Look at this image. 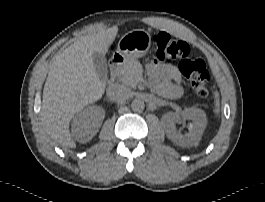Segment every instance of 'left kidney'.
<instances>
[{"label":"left kidney","mask_w":265,"mask_h":202,"mask_svg":"<svg viewBox=\"0 0 265 202\" xmlns=\"http://www.w3.org/2000/svg\"><path fill=\"white\" fill-rule=\"evenodd\" d=\"M183 120L192 121L189 125V131L185 134L176 128V124ZM161 121L168 139L181 147L198 145L207 125L205 112L195 107L186 108L181 113L168 112L162 116Z\"/></svg>","instance_id":"left-kidney-1"}]
</instances>
